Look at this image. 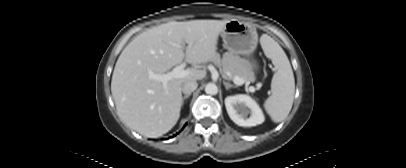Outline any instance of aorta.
Segmentation results:
<instances>
[{"instance_id": "1", "label": "aorta", "mask_w": 406, "mask_h": 168, "mask_svg": "<svg viewBox=\"0 0 406 168\" xmlns=\"http://www.w3.org/2000/svg\"><path fill=\"white\" fill-rule=\"evenodd\" d=\"M205 92L210 95H216L218 93V87L214 83H208L205 87Z\"/></svg>"}]
</instances>
